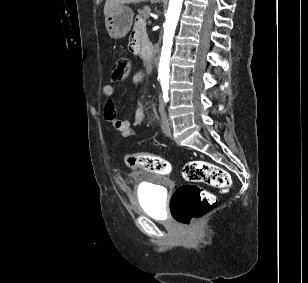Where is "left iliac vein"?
Segmentation results:
<instances>
[{
  "label": "left iliac vein",
  "instance_id": "left-iliac-vein-1",
  "mask_svg": "<svg viewBox=\"0 0 308 283\" xmlns=\"http://www.w3.org/2000/svg\"><path fill=\"white\" fill-rule=\"evenodd\" d=\"M172 127V122L171 120L165 115L164 120H163V129L166 133H169Z\"/></svg>",
  "mask_w": 308,
  "mask_h": 283
}]
</instances>
